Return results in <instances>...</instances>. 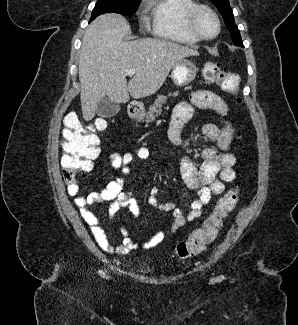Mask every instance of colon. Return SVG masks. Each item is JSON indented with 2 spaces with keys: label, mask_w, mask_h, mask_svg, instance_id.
Wrapping results in <instances>:
<instances>
[{
  "label": "colon",
  "mask_w": 298,
  "mask_h": 325,
  "mask_svg": "<svg viewBox=\"0 0 298 325\" xmlns=\"http://www.w3.org/2000/svg\"><path fill=\"white\" fill-rule=\"evenodd\" d=\"M202 76L207 83L215 84L224 93L233 96L236 104L242 103L237 75L227 72L217 63L206 62L202 66ZM106 126L104 119L85 123L75 113L66 116L61 143V166L63 179L67 184L77 182L79 177L89 171L92 161L99 155L96 132L104 130ZM238 194L237 186L228 190L218 200L203 225L193 231L186 241L175 246L174 257L188 259L204 251L216 239L224 218L236 207Z\"/></svg>",
  "instance_id": "5ec220e1"
}]
</instances>
